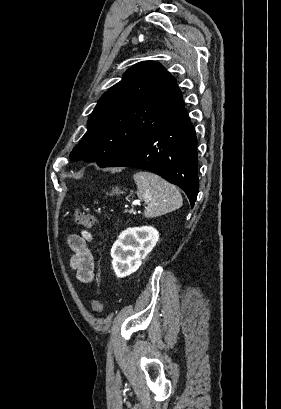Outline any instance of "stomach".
<instances>
[{"instance_id":"0dacf381","label":"stomach","mask_w":281,"mask_h":409,"mask_svg":"<svg viewBox=\"0 0 281 409\" xmlns=\"http://www.w3.org/2000/svg\"><path fill=\"white\" fill-rule=\"evenodd\" d=\"M119 192H121L119 186H114V188H112V194H119Z\"/></svg>"}]
</instances>
